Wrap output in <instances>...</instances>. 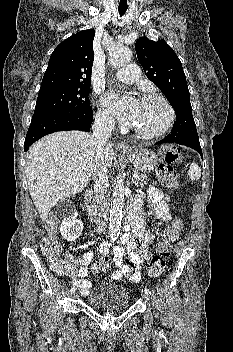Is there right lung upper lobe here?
Wrapping results in <instances>:
<instances>
[{"instance_id": "1", "label": "right lung upper lobe", "mask_w": 233, "mask_h": 352, "mask_svg": "<svg viewBox=\"0 0 233 352\" xmlns=\"http://www.w3.org/2000/svg\"><path fill=\"white\" fill-rule=\"evenodd\" d=\"M94 35V29L83 30L61 42L50 56L41 87L90 85Z\"/></svg>"}]
</instances>
